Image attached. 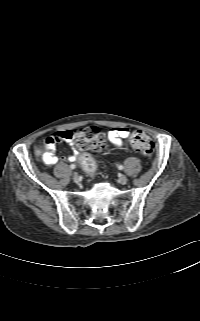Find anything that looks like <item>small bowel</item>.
I'll list each match as a JSON object with an SVG mask.
<instances>
[{"label": "small bowel", "instance_id": "c3829d8e", "mask_svg": "<svg viewBox=\"0 0 200 321\" xmlns=\"http://www.w3.org/2000/svg\"><path fill=\"white\" fill-rule=\"evenodd\" d=\"M71 131H57L50 134L44 141L43 149L40 151L41 157L45 164L52 166L58 162V157L55 155L56 144L61 142H67L71 146L76 144L72 139L68 137ZM129 136V130L125 127L112 128L108 134V140L115 148H121L124 145V140ZM78 151L73 148V153L66 157L67 161L73 162L76 160V154Z\"/></svg>", "mask_w": 200, "mask_h": 321}]
</instances>
